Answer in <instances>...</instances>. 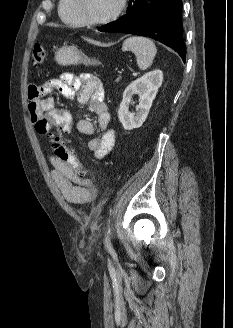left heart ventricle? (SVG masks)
Wrapping results in <instances>:
<instances>
[{
    "label": "left heart ventricle",
    "mask_w": 233,
    "mask_h": 328,
    "mask_svg": "<svg viewBox=\"0 0 233 328\" xmlns=\"http://www.w3.org/2000/svg\"><path fill=\"white\" fill-rule=\"evenodd\" d=\"M120 0H82L84 15L91 20H101L112 15Z\"/></svg>",
    "instance_id": "1"
}]
</instances>
